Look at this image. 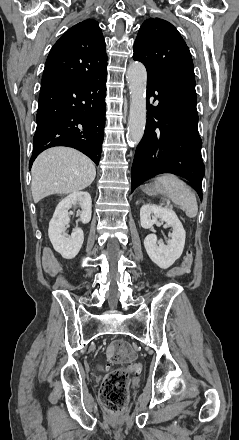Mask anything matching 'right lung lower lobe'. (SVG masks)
<instances>
[{
	"label": "right lung lower lobe",
	"instance_id": "1",
	"mask_svg": "<svg viewBox=\"0 0 239 440\" xmlns=\"http://www.w3.org/2000/svg\"><path fill=\"white\" fill-rule=\"evenodd\" d=\"M107 71L89 78L41 85L31 167L36 157L54 146L73 147L96 165L105 126Z\"/></svg>",
	"mask_w": 239,
	"mask_h": 440
}]
</instances>
